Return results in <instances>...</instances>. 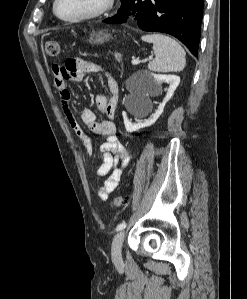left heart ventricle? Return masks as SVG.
Here are the masks:
<instances>
[{
  "instance_id": "left-heart-ventricle-1",
  "label": "left heart ventricle",
  "mask_w": 247,
  "mask_h": 299,
  "mask_svg": "<svg viewBox=\"0 0 247 299\" xmlns=\"http://www.w3.org/2000/svg\"><path fill=\"white\" fill-rule=\"evenodd\" d=\"M101 0H60L57 5L59 15L73 18L94 10Z\"/></svg>"
}]
</instances>
